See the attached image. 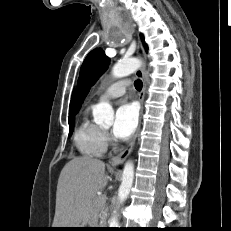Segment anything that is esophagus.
<instances>
[{
    "label": "esophagus",
    "instance_id": "34e87169",
    "mask_svg": "<svg viewBox=\"0 0 231 231\" xmlns=\"http://www.w3.org/2000/svg\"><path fill=\"white\" fill-rule=\"evenodd\" d=\"M137 54H138V57L143 62V65L135 72V75L138 78H140L143 82L142 90L139 93V101H140L139 123H138L137 130H136L133 138L129 142L128 146L123 151L118 153L116 156H114L110 160V163L112 166H117V165L123 163L127 159V157L130 155V153L133 150L136 138H137L139 131H140V128H141V119H142V115H143V105H144V99H145V93H146V73H145V67H144L145 52H144L143 46L141 44H138Z\"/></svg>",
    "mask_w": 231,
    "mask_h": 231
}]
</instances>
